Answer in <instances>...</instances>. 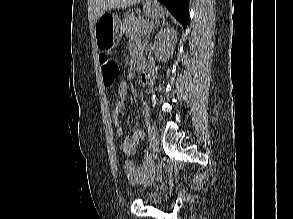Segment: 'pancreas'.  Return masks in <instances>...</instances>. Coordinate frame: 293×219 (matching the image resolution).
<instances>
[{"instance_id": "pancreas-1", "label": "pancreas", "mask_w": 293, "mask_h": 219, "mask_svg": "<svg viewBox=\"0 0 293 219\" xmlns=\"http://www.w3.org/2000/svg\"><path fill=\"white\" fill-rule=\"evenodd\" d=\"M151 29L150 23L144 21L140 18H135L134 16L128 15L125 17L122 32L126 36H138L143 35Z\"/></svg>"}]
</instances>
